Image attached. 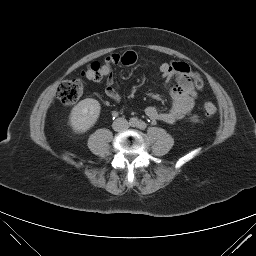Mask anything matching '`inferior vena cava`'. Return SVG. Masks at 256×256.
I'll list each match as a JSON object with an SVG mask.
<instances>
[{
    "label": "inferior vena cava",
    "mask_w": 256,
    "mask_h": 256,
    "mask_svg": "<svg viewBox=\"0 0 256 256\" xmlns=\"http://www.w3.org/2000/svg\"><path fill=\"white\" fill-rule=\"evenodd\" d=\"M112 127L117 132H122L128 129V121L124 118H117L113 124Z\"/></svg>",
    "instance_id": "obj_1"
}]
</instances>
